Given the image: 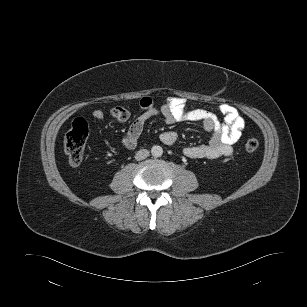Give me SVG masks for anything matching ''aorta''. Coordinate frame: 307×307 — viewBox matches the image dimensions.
I'll return each instance as SVG.
<instances>
[{"label":"aorta","mask_w":307,"mask_h":307,"mask_svg":"<svg viewBox=\"0 0 307 307\" xmlns=\"http://www.w3.org/2000/svg\"><path fill=\"white\" fill-rule=\"evenodd\" d=\"M151 154H152L153 157H160V156H162V154H163L162 147L158 146V145H154L151 148Z\"/></svg>","instance_id":"1"}]
</instances>
